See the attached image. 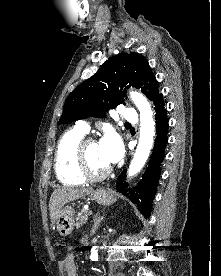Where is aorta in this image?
<instances>
[{
  "label": "aorta",
  "mask_w": 221,
  "mask_h": 276,
  "mask_svg": "<svg viewBox=\"0 0 221 276\" xmlns=\"http://www.w3.org/2000/svg\"><path fill=\"white\" fill-rule=\"evenodd\" d=\"M130 97L140 112V137L129 166L128 177L136 175L143 168L149 157L155 135V122L148 100L141 93L133 91L130 93ZM90 258L94 261L98 259V251L95 248L91 250Z\"/></svg>",
  "instance_id": "1"
}]
</instances>
